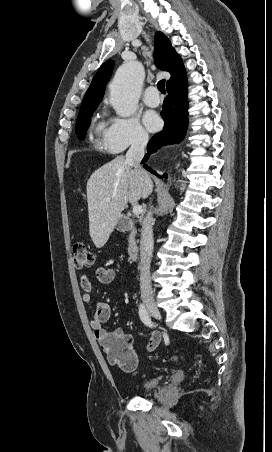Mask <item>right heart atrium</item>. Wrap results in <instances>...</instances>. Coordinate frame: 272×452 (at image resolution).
I'll use <instances>...</instances> for the list:
<instances>
[{
    "mask_svg": "<svg viewBox=\"0 0 272 452\" xmlns=\"http://www.w3.org/2000/svg\"><path fill=\"white\" fill-rule=\"evenodd\" d=\"M148 141V134L135 117H114L103 134L102 144L105 149L119 153L128 147L143 146Z\"/></svg>",
    "mask_w": 272,
    "mask_h": 452,
    "instance_id": "right-heart-atrium-1",
    "label": "right heart atrium"
}]
</instances>
